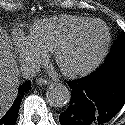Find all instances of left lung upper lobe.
<instances>
[{"mask_svg":"<svg viewBox=\"0 0 125 125\" xmlns=\"http://www.w3.org/2000/svg\"><path fill=\"white\" fill-rule=\"evenodd\" d=\"M125 60V33L122 32L105 62Z\"/></svg>","mask_w":125,"mask_h":125,"instance_id":"1","label":"left lung upper lobe"}]
</instances>
